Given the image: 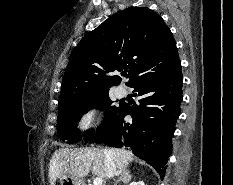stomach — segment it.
I'll use <instances>...</instances> for the list:
<instances>
[{
  "label": "stomach",
  "instance_id": "stomach-1",
  "mask_svg": "<svg viewBox=\"0 0 233 185\" xmlns=\"http://www.w3.org/2000/svg\"><path fill=\"white\" fill-rule=\"evenodd\" d=\"M60 185H84L82 180L71 175H63L60 178Z\"/></svg>",
  "mask_w": 233,
  "mask_h": 185
}]
</instances>
